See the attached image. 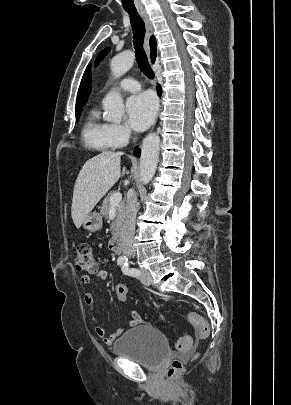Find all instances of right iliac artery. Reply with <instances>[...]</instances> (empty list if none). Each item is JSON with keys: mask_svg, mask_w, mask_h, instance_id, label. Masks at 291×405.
Segmentation results:
<instances>
[{"mask_svg": "<svg viewBox=\"0 0 291 405\" xmlns=\"http://www.w3.org/2000/svg\"><path fill=\"white\" fill-rule=\"evenodd\" d=\"M124 263H126V261L124 259H119L118 260V264L119 265H123Z\"/></svg>", "mask_w": 291, "mask_h": 405, "instance_id": "1", "label": "right iliac artery"}]
</instances>
